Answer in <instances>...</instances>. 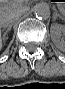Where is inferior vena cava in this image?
<instances>
[{
    "mask_svg": "<svg viewBox=\"0 0 65 89\" xmlns=\"http://www.w3.org/2000/svg\"><path fill=\"white\" fill-rule=\"evenodd\" d=\"M21 13L15 14L13 16H11L9 19H4L3 17L0 18V23L1 24H12L13 22H15L16 20H18L21 17Z\"/></svg>",
    "mask_w": 65,
    "mask_h": 89,
    "instance_id": "inferior-vena-cava-1",
    "label": "inferior vena cava"
}]
</instances>
